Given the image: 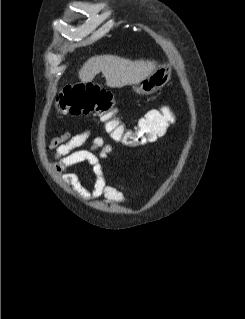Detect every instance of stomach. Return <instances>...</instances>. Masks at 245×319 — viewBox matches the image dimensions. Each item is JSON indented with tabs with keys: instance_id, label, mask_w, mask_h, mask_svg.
<instances>
[{
	"instance_id": "obj_1",
	"label": "stomach",
	"mask_w": 245,
	"mask_h": 319,
	"mask_svg": "<svg viewBox=\"0 0 245 319\" xmlns=\"http://www.w3.org/2000/svg\"><path fill=\"white\" fill-rule=\"evenodd\" d=\"M171 77V68L167 64H161L147 77L133 85V91L140 95H149L161 89L168 83Z\"/></svg>"
}]
</instances>
